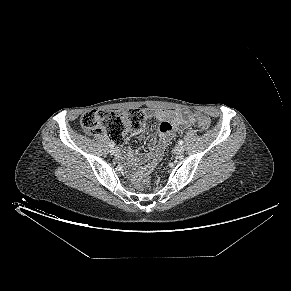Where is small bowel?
Masks as SVG:
<instances>
[{"label": "small bowel", "mask_w": 291, "mask_h": 291, "mask_svg": "<svg viewBox=\"0 0 291 291\" xmlns=\"http://www.w3.org/2000/svg\"><path fill=\"white\" fill-rule=\"evenodd\" d=\"M145 116L159 121V139L154 138L151 140L150 147L152 151L148 155L134 156L133 153H129V157L137 163L148 161L142 171L148 167L151 169L154 168L157 161L162 157L164 149L170 143L173 131L182 130L195 121L192 116L176 110H147ZM136 136L142 138L143 131H137Z\"/></svg>", "instance_id": "small-bowel-1"}]
</instances>
